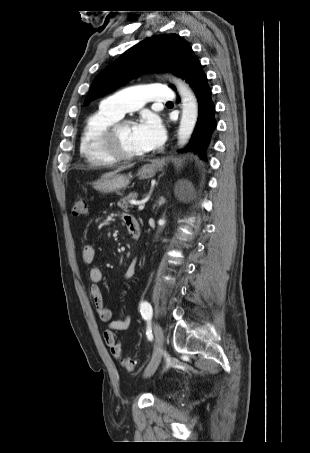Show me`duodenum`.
Wrapping results in <instances>:
<instances>
[{
    "label": "duodenum",
    "mask_w": 310,
    "mask_h": 453,
    "mask_svg": "<svg viewBox=\"0 0 310 453\" xmlns=\"http://www.w3.org/2000/svg\"><path fill=\"white\" fill-rule=\"evenodd\" d=\"M140 230H141V227H140L139 222L133 223L132 225H130L128 227V232H129V235H130V237L132 239H138L139 238Z\"/></svg>",
    "instance_id": "410a0bca"
}]
</instances>
